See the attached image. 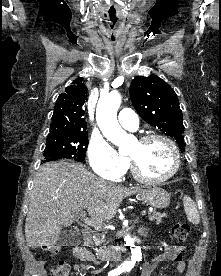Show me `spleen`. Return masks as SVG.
<instances>
[{
  "mask_svg": "<svg viewBox=\"0 0 221 276\" xmlns=\"http://www.w3.org/2000/svg\"><path fill=\"white\" fill-rule=\"evenodd\" d=\"M183 205L187 220L194 225H198L200 216L195 202L189 196L185 195L183 198Z\"/></svg>",
  "mask_w": 221,
  "mask_h": 276,
  "instance_id": "obj_1",
  "label": "spleen"
}]
</instances>
